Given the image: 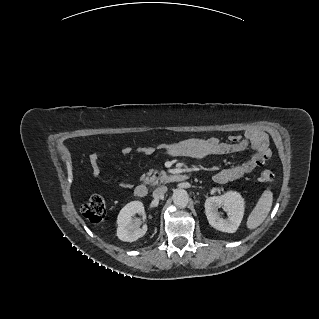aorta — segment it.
I'll return each instance as SVG.
<instances>
[{"instance_id":"obj_1","label":"aorta","mask_w":319,"mask_h":319,"mask_svg":"<svg viewBox=\"0 0 319 319\" xmlns=\"http://www.w3.org/2000/svg\"><path fill=\"white\" fill-rule=\"evenodd\" d=\"M173 203L178 208H185L188 205L189 195L184 189H176L172 195Z\"/></svg>"}]
</instances>
